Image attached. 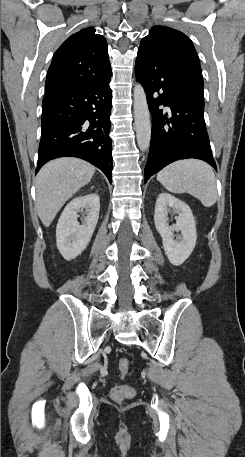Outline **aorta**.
<instances>
[{"label":"aorta","mask_w":245,"mask_h":457,"mask_svg":"<svg viewBox=\"0 0 245 457\" xmlns=\"http://www.w3.org/2000/svg\"><path fill=\"white\" fill-rule=\"evenodd\" d=\"M133 109L137 143L142 151H146L150 146L151 122L146 93L140 83L134 87Z\"/></svg>","instance_id":"762f6f07"}]
</instances>
